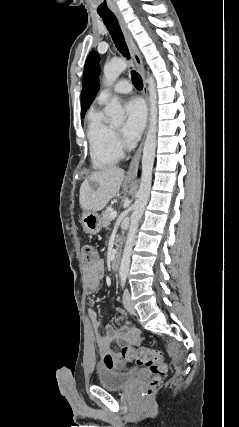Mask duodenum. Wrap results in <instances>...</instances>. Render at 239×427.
I'll return each instance as SVG.
<instances>
[{
  "label": "duodenum",
  "mask_w": 239,
  "mask_h": 427,
  "mask_svg": "<svg viewBox=\"0 0 239 427\" xmlns=\"http://www.w3.org/2000/svg\"><path fill=\"white\" fill-rule=\"evenodd\" d=\"M111 267L112 270L117 272L119 270L120 267V254L118 252H115V254L113 255L112 258V262H111Z\"/></svg>",
  "instance_id": "410a0bca"
}]
</instances>
